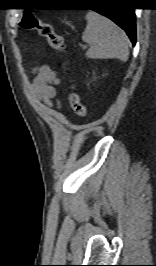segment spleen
Wrapping results in <instances>:
<instances>
[{"label":"spleen","mask_w":156,"mask_h":266,"mask_svg":"<svg viewBox=\"0 0 156 266\" xmlns=\"http://www.w3.org/2000/svg\"><path fill=\"white\" fill-rule=\"evenodd\" d=\"M86 19L88 24L82 35V40L90 46L86 57L127 61L129 40L126 33L111 20L96 12H88Z\"/></svg>","instance_id":"1"}]
</instances>
